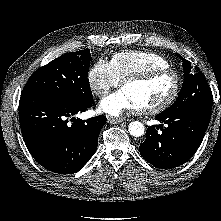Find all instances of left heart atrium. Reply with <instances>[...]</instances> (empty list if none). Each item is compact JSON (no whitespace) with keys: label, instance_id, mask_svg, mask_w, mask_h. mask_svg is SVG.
<instances>
[{"label":"left heart atrium","instance_id":"obj_1","mask_svg":"<svg viewBox=\"0 0 221 221\" xmlns=\"http://www.w3.org/2000/svg\"><path fill=\"white\" fill-rule=\"evenodd\" d=\"M101 112L111 116H119L127 111H138L139 107L123 89L105 97L99 105Z\"/></svg>","mask_w":221,"mask_h":221}]
</instances>
